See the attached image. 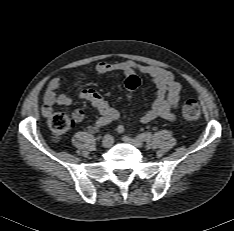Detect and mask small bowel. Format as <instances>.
<instances>
[{"label":"small bowel","instance_id":"c3829d8e","mask_svg":"<svg viewBox=\"0 0 234 231\" xmlns=\"http://www.w3.org/2000/svg\"><path fill=\"white\" fill-rule=\"evenodd\" d=\"M95 72L98 75L122 72L125 76L139 72L149 76L156 86V95L150 108L142 115L141 122L148 123L156 118H163L168 121L175 119V110L180 104L182 85L170 71L153 65L125 60L120 62L101 61L96 64ZM61 83L59 76H55L49 81L43 97L42 112L45 115H49L56 104L66 107L72 104L73 100L69 95L58 92ZM79 97L90 102L100 113L101 118L110 122L118 120L120 116L119 111L111 106L97 90L83 88L79 92ZM72 118L76 123L81 122L84 118L83 111L80 109L74 111Z\"/></svg>","mask_w":234,"mask_h":231}]
</instances>
